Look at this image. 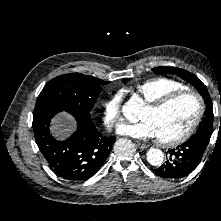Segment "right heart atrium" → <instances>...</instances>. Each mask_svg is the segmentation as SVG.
I'll use <instances>...</instances> for the list:
<instances>
[{
	"label": "right heart atrium",
	"instance_id": "d8ad5b80",
	"mask_svg": "<svg viewBox=\"0 0 221 221\" xmlns=\"http://www.w3.org/2000/svg\"><path fill=\"white\" fill-rule=\"evenodd\" d=\"M122 99L121 92L113 94L104 103L103 107V121L108 129H114L123 120L122 118Z\"/></svg>",
	"mask_w": 221,
	"mask_h": 221
}]
</instances>
